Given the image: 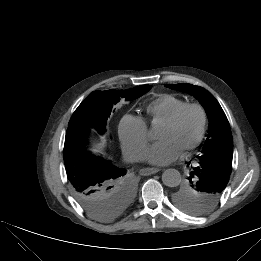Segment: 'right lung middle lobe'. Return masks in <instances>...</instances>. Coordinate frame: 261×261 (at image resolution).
<instances>
[{
    "label": "right lung middle lobe",
    "mask_w": 261,
    "mask_h": 261,
    "mask_svg": "<svg viewBox=\"0 0 261 261\" xmlns=\"http://www.w3.org/2000/svg\"><path fill=\"white\" fill-rule=\"evenodd\" d=\"M150 89V85H141L124 91H94L75 110L68 127L95 126L103 133L106 121L120 100L131 101ZM125 174L121 172L101 183L82 187L71 184V191L86 213L97 220L110 221L121 215L134 197V185Z\"/></svg>",
    "instance_id": "dd1d6c3e"
}]
</instances>
